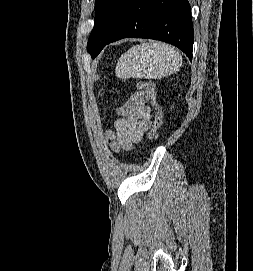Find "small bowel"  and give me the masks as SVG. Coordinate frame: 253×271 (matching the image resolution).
Listing matches in <instances>:
<instances>
[{"label": "small bowel", "mask_w": 253, "mask_h": 271, "mask_svg": "<svg viewBox=\"0 0 253 271\" xmlns=\"http://www.w3.org/2000/svg\"><path fill=\"white\" fill-rule=\"evenodd\" d=\"M147 99L148 96L136 93L118 108V118L112 129L105 133L107 141L116 151L132 150L151 128V111L145 104Z\"/></svg>", "instance_id": "small-bowel-1"}]
</instances>
